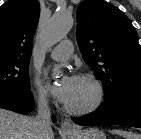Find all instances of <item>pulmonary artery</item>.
<instances>
[{"instance_id": "obj_1", "label": "pulmonary artery", "mask_w": 141, "mask_h": 139, "mask_svg": "<svg viewBox=\"0 0 141 139\" xmlns=\"http://www.w3.org/2000/svg\"><path fill=\"white\" fill-rule=\"evenodd\" d=\"M73 53V45L69 40L59 43L51 52L50 57L57 61L68 59Z\"/></svg>"}]
</instances>
